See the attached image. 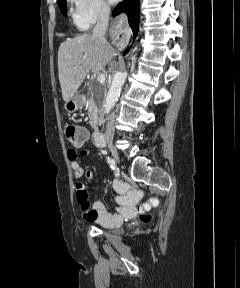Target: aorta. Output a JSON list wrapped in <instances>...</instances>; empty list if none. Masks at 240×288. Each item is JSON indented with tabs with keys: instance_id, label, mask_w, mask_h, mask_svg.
<instances>
[{
	"instance_id": "aorta-1",
	"label": "aorta",
	"mask_w": 240,
	"mask_h": 288,
	"mask_svg": "<svg viewBox=\"0 0 240 288\" xmlns=\"http://www.w3.org/2000/svg\"><path fill=\"white\" fill-rule=\"evenodd\" d=\"M126 72H117L112 80V84L108 91L106 102L104 104V113L107 115L114 107L118 97L120 96L121 88L126 80Z\"/></svg>"
}]
</instances>
